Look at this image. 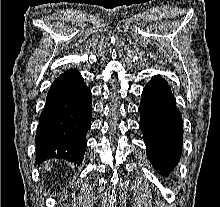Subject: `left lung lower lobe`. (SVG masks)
<instances>
[{
    "label": "left lung lower lobe",
    "instance_id": "left-lung-lower-lobe-1",
    "mask_svg": "<svg viewBox=\"0 0 220 207\" xmlns=\"http://www.w3.org/2000/svg\"><path fill=\"white\" fill-rule=\"evenodd\" d=\"M140 128L148 158L162 175L169 174L182 152V117L168 83L154 76L142 92Z\"/></svg>",
    "mask_w": 220,
    "mask_h": 207
}]
</instances>
